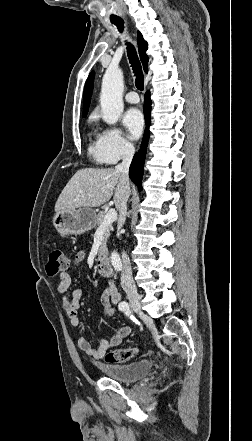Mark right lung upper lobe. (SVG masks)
Instances as JSON below:
<instances>
[{"mask_svg":"<svg viewBox=\"0 0 252 441\" xmlns=\"http://www.w3.org/2000/svg\"><path fill=\"white\" fill-rule=\"evenodd\" d=\"M137 41H138V51H139L141 62L143 64V69L145 72H147V64H148V57L146 55L147 42L143 39L140 32H138ZM93 80H94V73L92 72L89 75V77L86 81V84H85V88H84L83 117H85L87 115V112L89 109L92 90H93Z\"/></svg>","mask_w":252,"mask_h":441,"instance_id":"right-lung-upper-lobe-1","label":"right lung upper lobe"}]
</instances>
